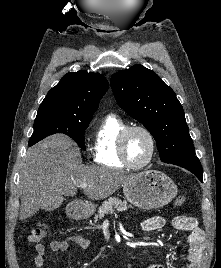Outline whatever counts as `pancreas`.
<instances>
[{
  "label": "pancreas",
  "mask_w": 221,
  "mask_h": 268,
  "mask_svg": "<svg viewBox=\"0 0 221 268\" xmlns=\"http://www.w3.org/2000/svg\"><path fill=\"white\" fill-rule=\"evenodd\" d=\"M113 207H115L118 211H125L127 210L128 206L127 201L121 200L116 197H111L107 201H105L102 206L99 207L98 215H95V221L103 218L109 212H113Z\"/></svg>",
  "instance_id": "pancreas-1"
}]
</instances>
